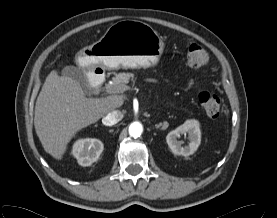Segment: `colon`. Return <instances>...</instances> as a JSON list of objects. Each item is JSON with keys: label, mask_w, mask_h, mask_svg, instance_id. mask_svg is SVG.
<instances>
[{"label": "colon", "mask_w": 277, "mask_h": 218, "mask_svg": "<svg viewBox=\"0 0 277 218\" xmlns=\"http://www.w3.org/2000/svg\"><path fill=\"white\" fill-rule=\"evenodd\" d=\"M208 61L207 52L197 44L189 47L187 63L192 68H199ZM199 101L208 116L217 118L221 112V99L215 93L204 91L199 94Z\"/></svg>", "instance_id": "5ec220e1"}]
</instances>
